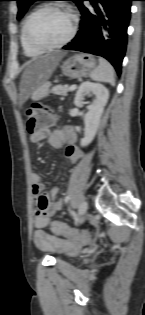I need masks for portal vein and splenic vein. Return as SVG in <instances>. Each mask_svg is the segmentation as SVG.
Listing matches in <instances>:
<instances>
[{
	"label": "portal vein and splenic vein",
	"instance_id": "obj_1",
	"mask_svg": "<svg viewBox=\"0 0 145 315\" xmlns=\"http://www.w3.org/2000/svg\"><path fill=\"white\" fill-rule=\"evenodd\" d=\"M76 89V85H71L70 87H69V91H72V90H75Z\"/></svg>",
	"mask_w": 145,
	"mask_h": 315
}]
</instances>
